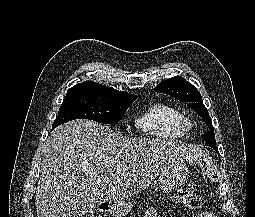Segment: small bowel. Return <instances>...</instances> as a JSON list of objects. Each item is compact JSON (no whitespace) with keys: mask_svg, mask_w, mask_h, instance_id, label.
Listing matches in <instances>:
<instances>
[{"mask_svg":"<svg viewBox=\"0 0 255 217\" xmlns=\"http://www.w3.org/2000/svg\"><path fill=\"white\" fill-rule=\"evenodd\" d=\"M144 217H158L155 208H149ZM198 217H217V215L214 212L206 211L201 213Z\"/></svg>","mask_w":255,"mask_h":217,"instance_id":"c3829d8e","label":"small bowel"}]
</instances>
